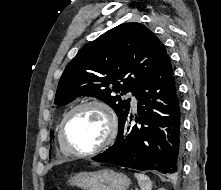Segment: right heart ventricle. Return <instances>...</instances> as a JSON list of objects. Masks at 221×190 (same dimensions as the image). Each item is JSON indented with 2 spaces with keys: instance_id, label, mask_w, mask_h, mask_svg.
Segmentation results:
<instances>
[{
  "instance_id": "1",
  "label": "right heart ventricle",
  "mask_w": 221,
  "mask_h": 190,
  "mask_svg": "<svg viewBox=\"0 0 221 190\" xmlns=\"http://www.w3.org/2000/svg\"><path fill=\"white\" fill-rule=\"evenodd\" d=\"M58 142H59V148H60L61 153L64 154V155H71L70 153H68V152L64 149V147H63L62 144L60 143L59 138H58Z\"/></svg>"
}]
</instances>
